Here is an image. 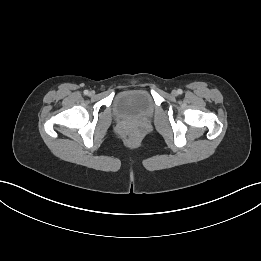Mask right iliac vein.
Returning <instances> with one entry per match:
<instances>
[{"mask_svg": "<svg viewBox=\"0 0 261 261\" xmlns=\"http://www.w3.org/2000/svg\"><path fill=\"white\" fill-rule=\"evenodd\" d=\"M94 94V92H90V95H93Z\"/></svg>", "mask_w": 261, "mask_h": 261, "instance_id": "right-iliac-vein-1", "label": "right iliac vein"}]
</instances>
